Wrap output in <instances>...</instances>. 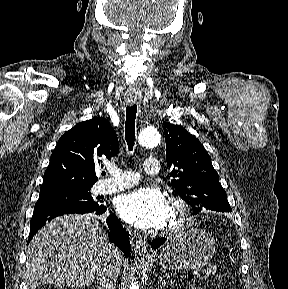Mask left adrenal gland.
<instances>
[{
    "label": "left adrenal gland",
    "instance_id": "obj_1",
    "mask_svg": "<svg viewBox=\"0 0 288 289\" xmlns=\"http://www.w3.org/2000/svg\"><path fill=\"white\" fill-rule=\"evenodd\" d=\"M158 279L160 282V285H159L160 289H162L163 286H165L166 284H168L170 282V280L168 279V276H167V280H165V275L159 276Z\"/></svg>",
    "mask_w": 288,
    "mask_h": 289
}]
</instances>
